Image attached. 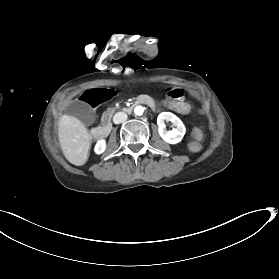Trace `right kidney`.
<instances>
[{"label": "right kidney", "instance_id": "obj_1", "mask_svg": "<svg viewBox=\"0 0 279 279\" xmlns=\"http://www.w3.org/2000/svg\"><path fill=\"white\" fill-rule=\"evenodd\" d=\"M105 148H106V142L105 140L102 139L97 141L94 150L96 154H101L105 151Z\"/></svg>", "mask_w": 279, "mask_h": 279}]
</instances>
